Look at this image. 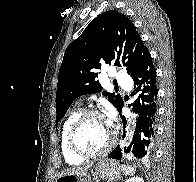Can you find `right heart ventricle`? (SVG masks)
<instances>
[{
  "label": "right heart ventricle",
  "mask_w": 196,
  "mask_h": 182,
  "mask_svg": "<svg viewBox=\"0 0 196 182\" xmlns=\"http://www.w3.org/2000/svg\"><path fill=\"white\" fill-rule=\"evenodd\" d=\"M81 113L82 112L80 109H75L71 111L66 117V119L64 120L62 124V128H61V135H60L61 150H62V154H63L65 161L70 165H79V164H82L84 161V159L76 156L74 153L71 152L68 146V141H67L69 129L72 123L74 122V120Z\"/></svg>",
  "instance_id": "1"
}]
</instances>
